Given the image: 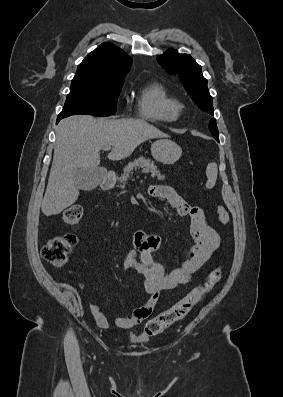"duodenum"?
Returning <instances> with one entry per match:
<instances>
[{
    "label": "duodenum",
    "instance_id": "duodenum-1",
    "mask_svg": "<svg viewBox=\"0 0 283 397\" xmlns=\"http://www.w3.org/2000/svg\"><path fill=\"white\" fill-rule=\"evenodd\" d=\"M114 184H115V177L112 175H108L102 181L101 187L104 190H109L114 186Z\"/></svg>",
    "mask_w": 283,
    "mask_h": 397
}]
</instances>
